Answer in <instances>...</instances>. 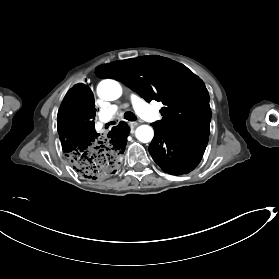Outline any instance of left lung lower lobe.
<instances>
[{"label":"left lung lower lobe","instance_id":"0a47b994","mask_svg":"<svg viewBox=\"0 0 279 279\" xmlns=\"http://www.w3.org/2000/svg\"><path fill=\"white\" fill-rule=\"evenodd\" d=\"M207 142L208 138L204 136H182L155 128L149 153L164 172L187 174L199 164Z\"/></svg>","mask_w":279,"mask_h":279}]
</instances>
